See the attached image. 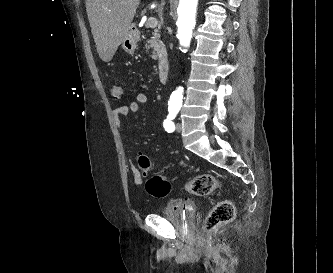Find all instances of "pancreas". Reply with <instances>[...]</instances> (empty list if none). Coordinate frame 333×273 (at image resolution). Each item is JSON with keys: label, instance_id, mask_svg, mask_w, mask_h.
Returning <instances> with one entry per match:
<instances>
[{"label": "pancreas", "instance_id": "pancreas-1", "mask_svg": "<svg viewBox=\"0 0 333 273\" xmlns=\"http://www.w3.org/2000/svg\"><path fill=\"white\" fill-rule=\"evenodd\" d=\"M148 43H149L148 48L153 49L151 55L152 59L156 60L161 54L166 53L165 45L160 40V34L158 33V31H155L153 33V37L151 38V40H149Z\"/></svg>", "mask_w": 333, "mask_h": 273}]
</instances>
